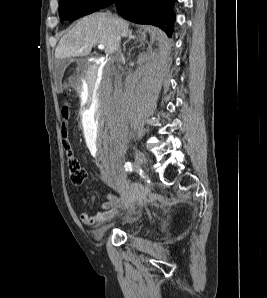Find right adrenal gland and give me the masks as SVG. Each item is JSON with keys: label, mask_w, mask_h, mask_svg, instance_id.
Returning <instances> with one entry per match:
<instances>
[{"label": "right adrenal gland", "mask_w": 267, "mask_h": 298, "mask_svg": "<svg viewBox=\"0 0 267 298\" xmlns=\"http://www.w3.org/2000/svg\"><path fill=\"white\" fill-rule=\"evenodd\" d=\"M135 38H137L136 36H134V35H132V32H130L129 34H128V39L124 42V44H123V49H124V51H125V45H126V43L127 42H129L131 39H135Z\"/></svg>", "instance_id": "obj_1"}]
</instances>
